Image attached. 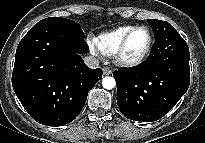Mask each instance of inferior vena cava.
<instances>
[{
	"instance_id": "602c4592",
	"label": "inferior vena cava",
	"mask_w": 205,
	"mask_h": 143,
	"mask_svg": "<svg viewBox=\"0 0 205 143\" xmlns=\"http://www.w3.org/2000/svg\"><path fill=\"white\" fill-rule=\"evenodd\" d=\"M85 64L92 69L99 67V60L94 56H86L84 57Z\"/></svg>"
}]
</instances>
